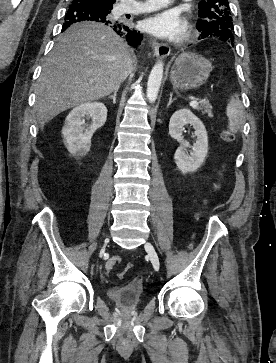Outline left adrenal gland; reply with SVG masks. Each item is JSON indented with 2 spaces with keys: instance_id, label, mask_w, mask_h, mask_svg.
<instances>
[{
  "instance_id": "obj_1",
  "label": "left adrenal gland",
  "mask_w": 276,
  "mask_h": 363,
  "mask_svg": "<svg viewBox=\"0 0 276 363\" xmlns=\"http://www.w3.org/2000/svg\"><path fill=\"white\" fill-rule=\"evenodd\" d=\"M176 99H173V93H170V98H169V102L167 104V107H169L173 101H175Z\"/></svg>"
}]
</instances>
